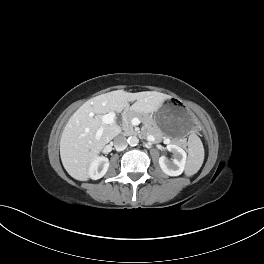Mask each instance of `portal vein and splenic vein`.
<instances>
[{
  "label": "portal vein and splenic vein",
  "mask_w": 264,
  "mask_h": 264,
  "mask_svg": "<svg viewBox=\"0 0 264 264\" xmlns=\"http://www.w3.org/2000/svg\"><path fill=\"white\" fill-rule=\"evenodd\" d=\"M115 116V112H109L108 114L102 116V122L104 124H116ZM100 136L101 131H98L96 137L99 138Z\"/></svg>",
  "instance_id": "obj_1"
}]
</instances>
